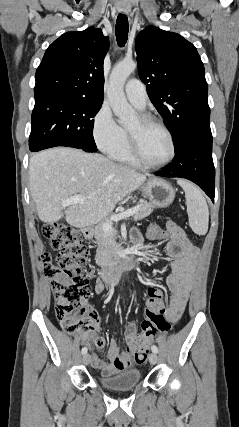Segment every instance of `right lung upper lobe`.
I'll return each mask as SVG.
<instances>
[{"label": "right lung upper lobe", "instance_id": "right-lung-upper-lobe-1", "mask_svg": "<svg viewBox=\"0 0 239 427\" xmlns=\"http://www.w3.org/2000/svg\"><path fill=\"white\" fill-rule=\"evenodd\" d=\"M109 47L102 30L67 32L46 50L36 70L35 100L103 102V61Z\"/></svg>", "mask_w": 239, "mask_h": 427}]
</instances>
